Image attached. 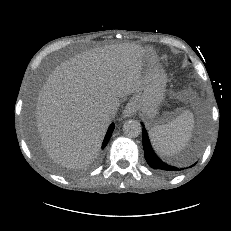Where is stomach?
Instances as JSON below:
<instances>
[{
	"label": "stomach",
	"mask_w": 231,
	"mask_h": 231,
	"mask_svg": "<svg viewBox=\"0 0 231 231\" xmlns=\"http://www.w3.org/2000/svg\"><path fill=\"white\" fill-rule=\"evenodd\" d=\"M141 84L130 100L149 125L156 124L159 106L165 97L167 77L156 57L146 50Z\"/></svg>",
	"instance_id": "1"
}]
</instances>
